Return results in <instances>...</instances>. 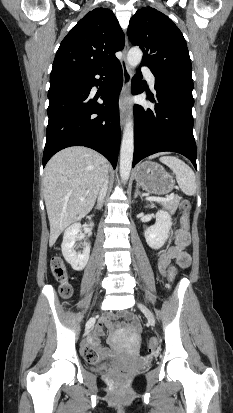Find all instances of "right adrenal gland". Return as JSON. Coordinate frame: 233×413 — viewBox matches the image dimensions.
<instances>
[{"label":"right adrenal gland","instance_id":"2a0ac1e0","mask_svg":"<svg viewBox=\"0 0 233 413\" xmlns=\"http://www.w3.org/2000/svg\"><path fill=\"white\" fill-rule=\"evenodd\" d=\"M101 206H102V205H101ZM101 206H99V207L97 206V208H101Z\"/></svg>","mask_w":233,"mask_h":413}]
</instances>
